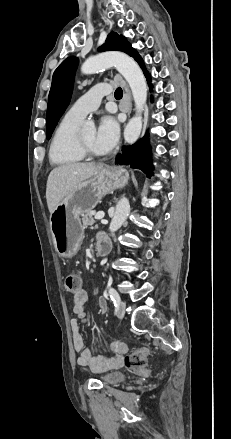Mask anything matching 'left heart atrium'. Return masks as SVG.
Instances as JSON below:
<instances>
[{"instance_id":"obj_1","label":"left heart atrium","mask_w":231,"mask_h":439,"mask_svg":"<svg viewBox=\"0 0 231 439\" xmlns=\"http://www.w3.org/2000/svg\"><path fill=\"white\" fill-rule=\"evenodd\" d=\"M119 136V126L116 120L109 115L103 116L95 132V143L102 153L111 151Z\"/></svg>"}]
</instances>
